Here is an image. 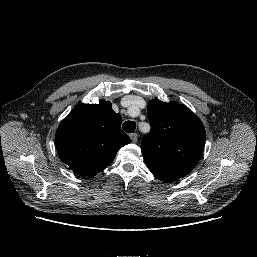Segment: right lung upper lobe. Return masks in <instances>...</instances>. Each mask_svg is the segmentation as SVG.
<instances>
[{
  "instance_id": "cb5924a9",
  "label": "right lung upper lobe",
  "mask_w": 257,
  "mask_h": 257,
  "mask_svg": "<svg viewBox=\"0 0 257 257\" xmlns=\"http://www.w3.org/2000/svg\"><path fill=\"white\" fill-rule=\"evenodd\" d=\"M121 123V116L112 110L109 101L76 106L56 131L60 159L78 175L94 177L131 142Z\"/></svg>"
}]
</instances>
